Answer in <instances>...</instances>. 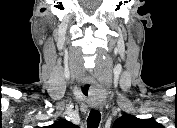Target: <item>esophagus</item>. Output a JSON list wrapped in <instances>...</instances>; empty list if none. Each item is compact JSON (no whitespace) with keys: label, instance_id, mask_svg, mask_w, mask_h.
<instances>
[{"label":"esophagus","instance_id":"esophagus-1","mask_svg":"<svg viewBox=\"0 0 177 128\" xmlns=\"http://www.w3.org/2000/svg\"><path fill=\"white\" fill-rule=\"evenodd\" d=\"M93 108H94V109H96V110H98V109H101V108H102V106H99V105H94V106H93Z\"/></svg>","mask_w":177,"mask_h":128}]
</instances>
